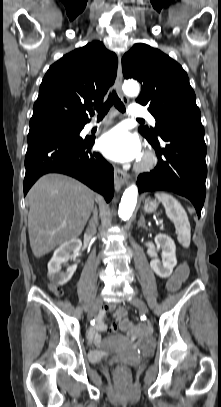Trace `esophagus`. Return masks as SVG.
<instances>
[{
	"mask_svg": "<svg viewBox=\"0 0 221 407\" xmlns=\"http://www.w3.org/2000/svg\"><path fill=\"white\" fill-rule=\"evenodd\" d=\"M122 80H123V74H122L121 60L119 58L117 78H116V88H117V92H118V95L120 96L121 100L125 104H127L129 102V99L124 95V93L122 91ZM127 179H128L127 172L122 170L120 167H115V174H114L115 185L121 186L127 181Z\"/></svg>",
	"mask_w": 221,
	"mask_h": 407,
	"instance_id": "34e87169",
	"label": "esophagus"
}]
</instances>
